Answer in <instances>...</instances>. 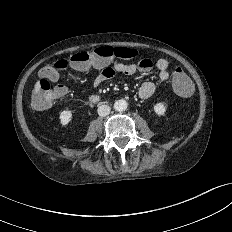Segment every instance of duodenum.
<instances>
[{"instance_id": "1", "label": "duodenum", "mask_w": 232, "mask_h": 232, "mask_svg": "<svg viewBox=\"0 0 232 232\" xmlns=\"http://www.w3.org/2000/svg\"><path fill=\"white\" fill-rule=\"evenodd\" d=\"M89 99H90V101H92V102H96V101L99 100V97L96 96V95H92Z\"/></svg>"}]
</instances>
